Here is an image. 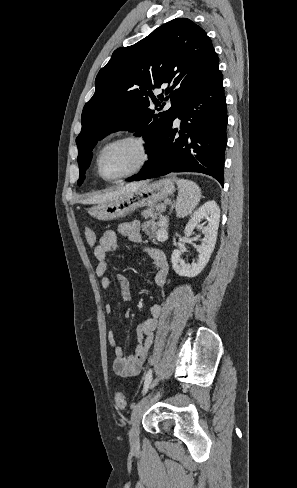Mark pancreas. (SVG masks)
I'll list each match as a JSON object with an SVG mask.
<instances>
[{"mask_svg": "<svg viewBox=\"0 0 297 488\" xmlns=\"http://www.w3.org/2000/svg\"><path fill=\"white\" fill-rule=\"evenodd\" d=\"M142 216L144 218H149L151 217V220L146 222L145 223V226H152V234L150 236L151 239L155 240V235L157 234L156 230H157V224L155 222L156 218H157V212H155V209L153 206L149 207L148 209L146 210H143L142 212ZM163 220V219H162ZM162 220L160 221V225L161 227H167V223L165 224H162Z\"/></svg>", "mask_w": 297, "mask_h": 488, "instance_id": "cf45deb5", "label": "pancreas"}]
</instances>
